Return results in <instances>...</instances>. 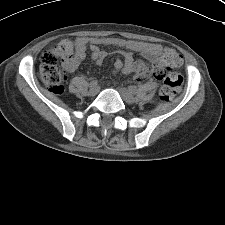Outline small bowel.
I'll return each instance as SVG.
<instances>
[{"label": "small bowel", "mask_w": 225, "mask_h": 225, "mask_svg": "<svg viewBox=\"0 0 225 225\" xmlns=\"http://www.w3.org/2000/svg\"><path fill=\"white\" fill-rule=\"evenodd\" d=\"M119 45L121 47H128L129 49L139 53L143 58L151 63H157L161 52V47L157 44L138 42L134 45H125L112 38H87L80 37L76 39V55L75 61L65 64V69L68 72H74L79 64L86 58V51L89 45L91 51V58L97 64L101 65L107 58L108 53L100 49L99 45ZM144 65L140 60L135 61L133 55L129 51L120 50L117 52L112 74H129L134 72L137 74L139 69Z\"/></svg>", "instance_id": "small-bowel-1"}]
</instances>
